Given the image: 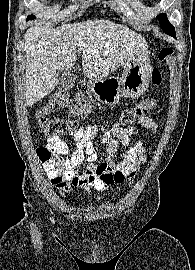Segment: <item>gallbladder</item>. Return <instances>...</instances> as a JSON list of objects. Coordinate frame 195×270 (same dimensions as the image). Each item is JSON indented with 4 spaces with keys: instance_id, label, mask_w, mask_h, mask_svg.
Here are the masks:
<instances>
[{
    "instance_id": "1",
    "label": "gallbladder",
    "mask_w": 195,
    "mask_h": 270,
    "mask_svg": "<svg viewBox=\"0 0 195 270\" xmlns=\"http://www.w3.org/2000/svg\"><path fill=\"white\" fill-rule=\"evenodd\" d=\"M77 78V72L74 67L63 69L59 71L58 83L56 88L58 90H69L74 86Z\"/></svg>"
}]
</instances>
